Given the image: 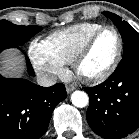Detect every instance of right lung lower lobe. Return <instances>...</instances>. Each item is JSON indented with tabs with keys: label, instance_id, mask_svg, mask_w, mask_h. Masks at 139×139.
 Returning <instances> with one entry per match:
<instances>
[{
	"label": "right lung lower lobe",
	"instance_id": "98d812e1",
	"mask_svg": "<svg viewBox=\"0 0 139 139\" xmlns=\"http://www.w3.org/2000/svg\"><path fill=\"white\" fill-rule=\"evenodd\" d=\"M7 48H19L6 43ZM28 73L34 70L26 56ZM62 83L41 87L26 79H9L0 75V139H39L47 130L54 108L66 98Z\"/></svg>",
	"mask_w": 139,
	"mask_h": 139
}]
</instances>
